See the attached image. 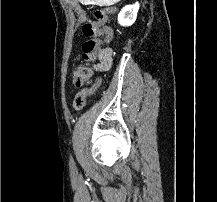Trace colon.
<instances>
[{
  "mask_svg": "<svg viewBox=\"0 0 217 202\" xmlns=\"http://www.w3.org/2000/svg\"><path fill=\"white\" fill-rule=\"evenodd\" d=\"M108 15V10L95 9L93 11V19L83 23L82 32L86 37L81 49V57L83 61L90 62L94 59L99 44L98 40L95 39L96 35L109 37L111 30L106 24ZM89 72L90 70L87 66L77 67L72 73V80L75 86L88 83L90 81ZM100 84L101 81L99 79V84H94L93 82V87L96 88L86 89L79 96H75L74 107L76 109H82L86 105L87 99L95 94Z\"/></svg>",
  "mask_w": 217,
  "mask_h": 202,
  "instance_id": "5ec220e1",
  "label": "colon"
}]
</instances>
